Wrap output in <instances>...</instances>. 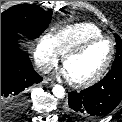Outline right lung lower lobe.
I'll list each match as a JSON object with an SVG mask.
<instances>
[{"label":"right lung lower lobe","mask_w":122,"mask_h":122,"mask_svg":"<svg viewBox=\"0 0 122 122\" xmlns=\"http://www.w3.org/2000/svg\"><path fill=\"white\" fill-rule=\"evenodd\" d=\"M18 37L1 32V122H13L26 108L29 87L42 81Z\"/></svg>","instance_id":"obj_1"}]
</instances>
